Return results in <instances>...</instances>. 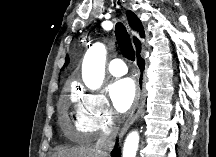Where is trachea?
I'll list each match as a JSON object with an SVG mask.
<instances>
[{"label":"trachea","mask_w":216,"mask_h":157,"mask_svg":"<svg viewBox=\"0 0 216 157\" xmlns=\"http://www.w3.org/2000/svg\"><path fill=\"white\" fill-rule=\"evenodd\" d=\"M115 35H116V40H117V43L119 45V48H120V51L122 53V55L130 60V61H134L135 60V51H134V48L132 46V43H131V39H130V36L125 28V26L118 22L116 24V27H115ZM137 49H141V43L137 40ZM143 64L145 65V62L143 59H141Z\"/></svg>","instance_id":"obj_1"}]
</instances>
